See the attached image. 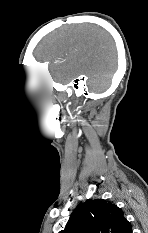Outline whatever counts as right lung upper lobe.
Here are the masks:
<instances>
[{
  "instance_id": "1",
  "label": "right lung upper lobe",
  "mask_w": 148,
  "mask_h": 233,
  "mask_svg": "<svg viewBox=\"0 0 148 233\" xmlns=\"http://www.w3.org/2000/svg\"><path fill=\"white\" fill-rule=\"evenodd\" d=\"M59 233H132V227L121 208L95 199L78 205Z\"/></svg>"
}]
</instances>
